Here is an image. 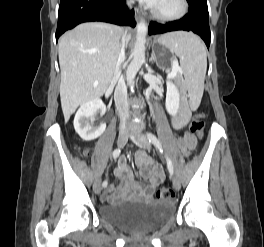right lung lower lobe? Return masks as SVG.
I'll return each mask as SVG.
<instances>
[{
    "label": "right lung lower lobe",
    "mask_w": 264,
    "mask_h": 247,
    "mask_svg": "<svg viewBox=\"0 0 264 247\" xmlns=\"http://www.w3.org/2000/svg\"><path fill=\"white\" fill-rule=\"evenodd\" d=\"M103 21L117 25H136L134 10L126 8V0H61L56 40L68 29L83 22Z\"/></svg>",
    "instance_id": "1"
}]
</instances>
